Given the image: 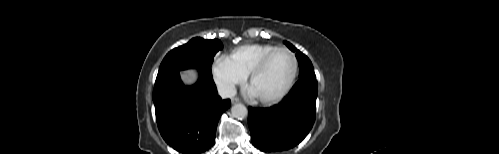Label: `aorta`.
<instances>
[{
	"label": "aorta",
	"mask_w": 499,
	"mask_h": 154,
	"mask_svg": "<svg viewBox=\"0 0 499 154\" xmlns=\"http://www.w3.org/2000/svg\"><path fill=\"white\" fill-rule=\"evenodd\" d=\"M231 115L234 118L243 119L248 115V110H247L246 106L243 104H240V103L235 104L231 108Z\"/></svg>",
	"instance_id": "aorta-1"
}]
</instances>
